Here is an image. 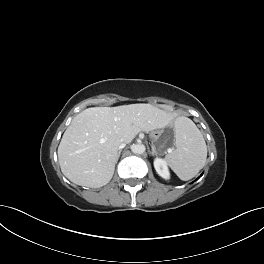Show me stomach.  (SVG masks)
<instances>
[{"mask_svg": "<svg viewBox=\"0 0 264 264\" xmlns=\"http://www.w3.org/2000/svg\"><path fill=\"white\" fill-rule=\"evenodd\" d=\"M154 148L158 152H167L171 149L174 139L175 131L171 127H164L161 131H153L150 134Z\"/></svg>", "mask_w": 264, "mask_h": 264, "instance_id": "stomach-1", "label": "stomach"}]
</instances>
